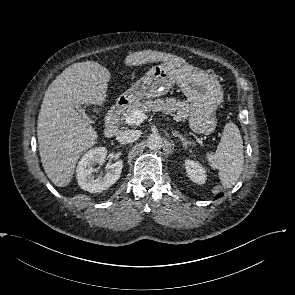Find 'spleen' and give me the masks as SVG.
<instances>
[{
	"mask_svg": "<svg viewBox=\"0 0 295 295\" xmlns=\"http://www.w3.org/2000/svg\"><path fill=\"white\" fill-rule=\"evenodd\" d=\"M207 160L213 169H218L223 188H230L237 182L243 170V140L233 122L225 125L216 152L208 153Z\"/></svg>",
	"mask_w": 295,
	"mask_h": 295,
	"instance_id": "1",
	"label": "spleen"
}]
</instances>
